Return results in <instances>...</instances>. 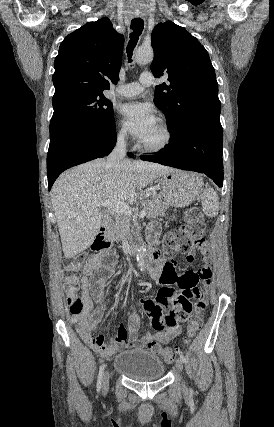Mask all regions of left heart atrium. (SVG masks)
Instances as JSON below:
<instances>
[{
	"mask_svg": "<svg viewBox=\"0 0 274 427\" xmlns=\"http://www.w3.org/2000/svg\"><path fill=\"white\" fill-rule=\"evenodd\" d=\"M118 113L124 128L139 140L146 137L157 122L152 108L145 103L123 104Z\"/></svg>",
	"mask_w": 274,
	"mask_h": 427,
	"instance_id": "obj_1",
	"label": "left heart atrium"
}]
</instances>
